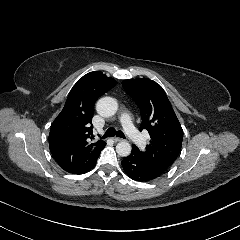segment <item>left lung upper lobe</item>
Listing matches in <instances>:
<instances>
[{
    "label": "left lung upper lobe",
    "mask_w": 240,
    "mask_h": 240,
    "mask_svg": "<svg viewBox=\"0 0 240 240\" xmlns=\"http://www.w3.org/2000/svg\"><path fill=\"white\" fill-rule=\"evenodd\" d=\"M123 87L140 108L142 123L151 136L145 151L132 145V152L154 166L169 168L178 157L183 130L164 90L150 79L124 80Z\"/></svg>",
    "instance_id": "1"
}]
</instances>
